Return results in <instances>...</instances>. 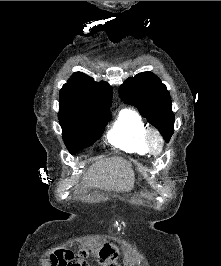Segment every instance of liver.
<instances>
[{
    "label": "liver",
    "instance_id": "6515ba94",
    "mask_svg": "<svg viewBox=\"0 0 221 266\" xmlns=\"http://www.w3.org/2000/svg\"><path fill=\"white\" fill-rule=\"evenodd\" d=\"M83 185L85 188L129 192L134 187L131 163L121 157L100 160L85 174Z\"/></svg>",
    "mask_w": 221,
    "mask_h": 266
}]
</instances>
